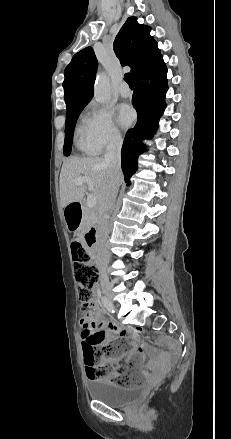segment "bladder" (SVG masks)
I'll use <instances>...</instances> for the list:
<instances>
[{
  "label": "bladder",
  "instance_id": "bladder-1",
  "mask_svg": "<svg viewBox=\"0 0 231 439\" xmlns=\"http://www.w3.org/2000/svg\"><path fill=\"white\" fill-rule=\"evenodd\" d=\"M88 392L91 398L114 407L122 406L138 399L142 394V390L139 387H124L104 381L90 384Z\"/></svg>",
  "mask_w": 231,
  "mask_h": 439
}]
</instances>
